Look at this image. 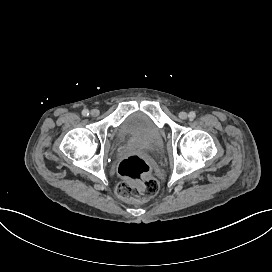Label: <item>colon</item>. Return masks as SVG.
Masks as SVG:
<instances>
[{"instance_id":"obj_1","label":"colon","mask_w":272,"mask_h":272,"mask_svg":"<svg viewBox=\"0 0 272 272\" xmlns=\"http://www.w3.org/2000/svg\"><path fill=\"white\" fill-rule=\"evenodd\" d=\"M117 171L127 180L117 187V193L126 199L143 202L159 190L158 180L150 175L148 160L138 154L123 158L117 166Z\"/></svg>"}]
</instances>
